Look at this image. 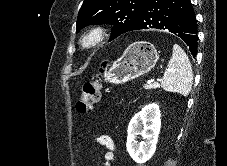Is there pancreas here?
<instances>
[{
    "label": "pancreas",
    "instance_id": "pancreas-1",
    "mask_svg": "<svg viewBox=\"0 0 227 166\" xmlns=\"http://www.w3.org/2000/svg\"><path fill=\"white\" fill-rule=\"evenodd\" d=\"M159 88L158 84H148V85H144V89L146 90H150V89H156Z\"/></svg>",
    "mask_w": 227,
    "mask_h": 166
}]
</instances>
